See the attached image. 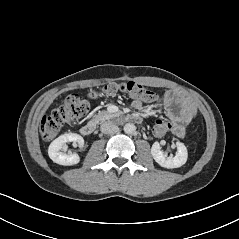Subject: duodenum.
I'll return each mask as SVG.
<instances>
[{
	"instance_id": "1",
	"label": "duodenum",
	"mask_w": 239,
	"mask_h": 239,
	"mask_svg": "<svg viewBox=\"0 0 239 239\" xmlns=\"http://www.w3.org/2000/svg\"><path fill=\"white\" fill-rule=\"evenodd\" d=\"M131 119H132L133 121H135V122H139V121L141 120L140 116H137V115H133V116L131 117ZM96 125H97V124H96V121L91 120V121L85 123V124L81 127V130H80V131H81V133H82L83 135L89 136V135H91V134L95 131Z\"/></svg>"
}]
</instances>
